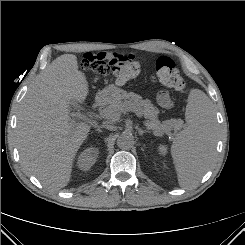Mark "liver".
<instances>
[{"mask_svg":"<svg viewBox=\"0 0 245 245\" xmlns=\"http://www.w3.org/2000/svg\"><path fill=\"white\" fill-rule=\"evenodd\" d=\"M88 92L76 55L65 54L41 73L21 103L16 128L20 160L45 187L60 189L70 181L90 125L70 118L69 101L82 104Z\"/></svg>","mask_w":245,"mask_h":245,"instance_id":"1","label":"liver"}]
</instances>
